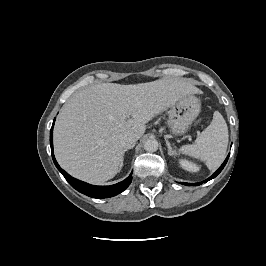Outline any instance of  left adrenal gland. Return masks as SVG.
<instances>
[{
    "instance_id": "left-adrenal-gland-1",
    "label": "left adrenal gland",
    "mask_w": 266,
    "mask_h": 266,
    "mask_svg": "<svg viewBox=\"0 0 266 266\" xmlns=\"http://www.w3.org/2000/svg\"><path fill=\"white\" fill-rule=\"evenodd\" d=\"M165 141H166V145H167V149H168V154L170 156H175L176 155V151H174L172 149L171 144H170V142L167 139H165Z\"/></svg>"
}]
</instances>
